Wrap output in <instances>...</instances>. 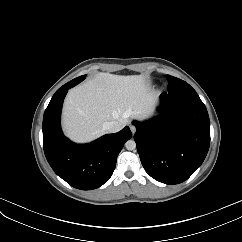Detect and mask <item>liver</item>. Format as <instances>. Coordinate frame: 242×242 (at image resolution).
<instances>
[{
    "label": "liver",
    "instance_id": "obj_1",
    "mask_svg": "<svg viewBox=\"0 0 242 242\" xmlns=\"http://www.w3.org/2000/svg\"><path fill=\"white\" fill-rule=\"evenodd\" d=\"M157 98L158 93L150 89L143 75L98 73L67 94L63 129L72 140L88 142L106 133L107 122L118 121L125 126L130 118L147 117Z\"/></svg>",
    "mask_w": 242,
    "mask_h": 242
}]
</instances>
